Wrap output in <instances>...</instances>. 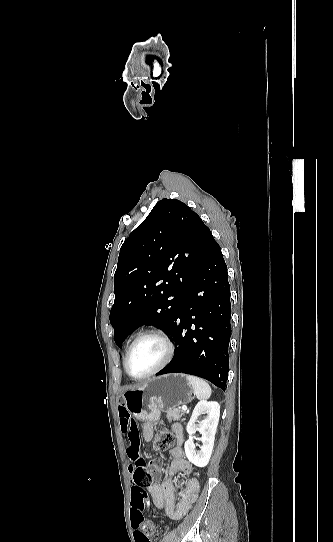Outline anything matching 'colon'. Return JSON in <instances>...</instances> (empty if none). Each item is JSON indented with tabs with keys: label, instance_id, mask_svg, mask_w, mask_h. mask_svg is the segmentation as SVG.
I'll list each match as a JSON object with an SVG mask.
<instances>
[{
	"label": "colon",
	"instance_id": "1",
	"mask_svg": "<svg viewBox=\"0 0 333 542\" xmlns=\"http://www.w3.org/2000/svg\"><path fill=\"white\" fill-rule=\"evenodd\" d=\"M176 436L167 429H160L154 435V448L156 451L167 450L173 447ZM129 467L133 469L136 483L131 484L130 491L133 493V507L131 509L130 522L133 525L142 524V529L137 533L139 542H148L156 530L153 521L144 515L149 505L145 503V495L149 493V486L154 483L153 473L146 470L145 461L141 458H131Z\"/></svg>",
	"mask_w": 333,
	"mask_h": 542
}]
</instances>
